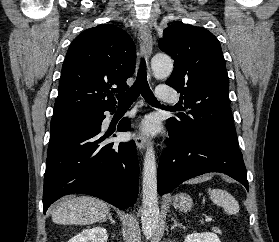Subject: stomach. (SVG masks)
<instances>
[{
  "instance_id": "0dacf381",
  "label": "stomach",
  "mask_w": 279,
  "mask_h": 242,
  "mask_svg": "<svg viewBox=\"0 0 279 242\" xmlns=\"http://www.w3.org/2000/svg\"><path fill=\"white\" fill-rule=\"evenodd\" d=\"M172 203L176 209L183 212L191 210L193 206L192 198L185 193L175 195L172 199Z\"/></svg>"
}]
</instances>
